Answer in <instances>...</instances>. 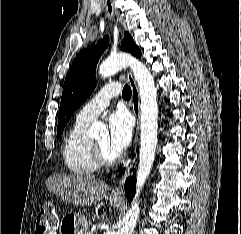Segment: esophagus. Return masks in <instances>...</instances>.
I'll use <instances>...</instances> for the list:
<instances>
[{
	"label": "esophagus",
	"mask_w": 241,
	"mask_h": 234,
	"mask_svg": "<svg viewBox=\"0 0 241 234\" xmlns=\"http://www.w3.org/2000/svg\"><path fill=\"white\" fill-rule=\"evenodd\" d=\"M106 9L109 13V15L114 18L115 17V10L112 3V0H105ZM128 82L131 87V107L132 111L136 117L137 120V126H136V138L138 135L139 127H140V97H139V89L137 86V83L133 77V74L131 71H128L127 73ZM132 167L131 160H128L125 164V173L122 176L121 180L113 187L112 194L115 196H122L124 195V182L127 177L130 175V169Z\"/></svg>",
	"instance_id": "obj_1"
}]
</instances>
